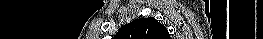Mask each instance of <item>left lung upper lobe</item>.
<instances>
[{
    "mask_svg": "<svg viewBox=\"0 0 263 39\" xmlns=\"http://www.w3.org/2000/svg\"><path fill=\"white\" fill-rule=\"evenodd\" d=\"M117 39H170L166 27L153 17L140 18L124 25Z\"/></svg>",
    "mask_w": 263,
    "mask_h": 39,
    "instance_id": "1",
    "label": "left lung upper lobe"
}]
</instances>
